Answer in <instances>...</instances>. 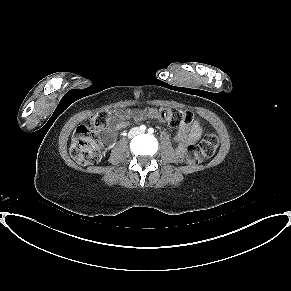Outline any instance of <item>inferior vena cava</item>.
<instances>
[{"label": "inferior vena cava", "instance_id": "602c4592", "mask_svg": "<svg viewBox=\"0 0 291 291\" xmlns=\"http://www.w3.org/2000/svg\"><path fill=\"white\" fill-rule=\"evenodd\" d=\"M138 134H140V129L137 127H134L129 132V138H132L133 136L138 135Z\"/></svg>", "mask_w": 291, "mask_h": 291}]
</instances>
